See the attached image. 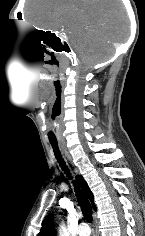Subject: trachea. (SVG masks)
I'll list each match as a JSON object with an SVG mask.
<instances>
[{"instance_id": "trachea-1", "label": "trachea", "mask_w": 145, "mask_h": 236, "mask_svg": "<svg viewBox=\"0 0 145 236\" xmlns=\"http://www.w3.org/2000/svg\"><path fill=\"white\" fill-rule=\"evenodd\" d=\"M50 143L53 147L54 154H55L62 170L66 174H68V176L71 179L72 177L70 176L69 170H68L67 166L65 165V162L62 159L57 142L51 141ZM75 193H76V197H77L79 206L81 207V211L83 213L84 218L87 220V222L91 223L92 222V207H91L89 200L87 199V197L84 195V193L77 186H75Z\"/></svg>"}]
</instances>
